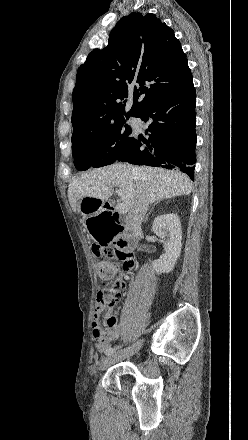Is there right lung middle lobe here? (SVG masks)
<instances>
[{"instance_id":"dd1d6c3e","label":"right lung middle lobe","mask_w":248,"mask_h":440,"mask_svg":"<svg viewBox=\"0 0 248 440\" xmlns=\"http://www.w3.org/2000/svg\"><path fill=\"white\" fill-rule=\"evenodd\" d=\"M125 120L104 130L72 136V154L78 170L102 167L117 161L127 151L131 127Z\"/></svg>"}]
</instances>
